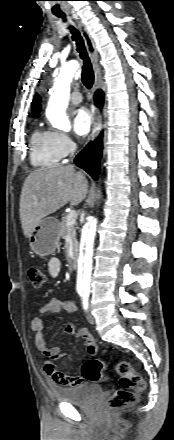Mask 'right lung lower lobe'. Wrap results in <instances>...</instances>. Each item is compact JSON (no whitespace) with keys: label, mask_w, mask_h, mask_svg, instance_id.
I'll return each mask as SVG.
<instances>
[{"label":"right lung lower lobe","mask_w":174,"mask_h":440,"mask_svg":"<svg viewBox=\"0 0 174 440\" xmlns=\"http://www.w3.org/2000/svg\"><path fill=\"white\" fill-rule=\"evenodd\" d=\"M104 101L101 90L95 94V104L102 106ZM103 142L102 133L94 142H90L75 158V164L84 169L93 179L97 180L99 173V161L102 157Z\"/></svg>","instance_id":"1"}]
</instances>
